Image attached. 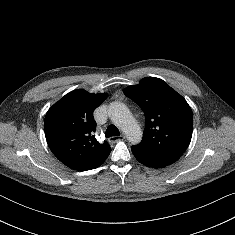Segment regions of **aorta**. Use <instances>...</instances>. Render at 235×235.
Instances as JSON below:
<instances>
[{
    "label": "aorta",
    "mask_w": 235,
    "mask_h": 235,
    "mask_svg": "<svg viewBox=\"0 0 235 235\" xmlns=\"http://www.w3.org/2000/svg\"><path fill=\"white\" fill-rule=\"evenodd\" d=\"M108 114L113 123L125 133L132 144H138L141 141V128L125 104L120 102L111 103Z\"/></svg>",
    "instance_id": "1"
}]
</instances>
